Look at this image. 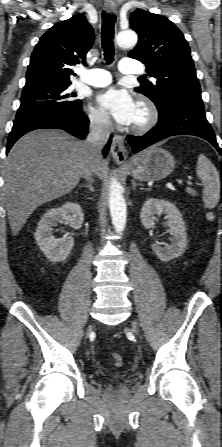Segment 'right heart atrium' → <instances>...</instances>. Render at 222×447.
I'll return each mask as SVG.
<instances>
[{
    "mask_svg": "<svg viewBox=\"0 0 222 447\" xmlns=\"http://www.w3.org/2000/svg\"><path fill=\"white\" fill-rule=\"evenodd\" d=\"M86 112L88 121L93 128L102 131H107L110 128V121L104 113L93 107H88Z\"/></svg>",
    "mask_w": 222,
    "mask_h": 447,
    "instance_id": "right-heart-atrium-1",
    "label": "right heart atrium"
}]
</instances>
